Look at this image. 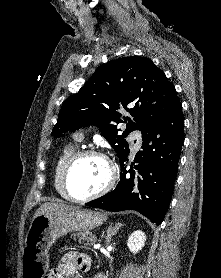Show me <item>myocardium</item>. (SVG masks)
<instances>
[{"instance_id": "f54148a6", "label": "myocardium", "mask_w": 221, "mask_h": 278, "mask_svg": "<svg viewBox=\"0 0 221 278\" xmlns=\"http://www.w3.org/2000/svg\"><path fill=\"white\" fill-rule=\"evenodd\" d=\"M87 156H96L101 158L108 167V179L105 183V185L99 189L98 191L91 193L85 197H75L72 195L70 188H69V175L73 168V166L78 162L80 159L87 157ZM117 181V169L114 164V162L102 151L96 150V149H83L80 151H77L66 163L63 173H62V187L65 192L66 197L77 203H84L88 202L90 200H93L95 198H98L108 191H110L113 186L115 185Z\"/></svg>"}]
</instances>
